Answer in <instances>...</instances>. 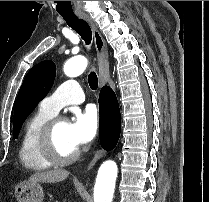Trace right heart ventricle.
Here are the masks:
<instances>
[{
	"instance_id": "right-heart-ventricle-1",
	"label": "right heart ventricle",
	"mask_w": 209,
	"mask_h": 202,
	"mask_svg": "<svg viewBox=\"0 0 209 202\" xmlns=\"http://www.w3.org/2000/svg\"><path fill=\"white\" fill-rule=\"evenodd\" d=\"M53 116L40 109L26 121L18 151L19 159L25 167L32 170H45L51 167V162L42 155L38 148V138L45 123Z\"/></svg>"
}]
</instances>
